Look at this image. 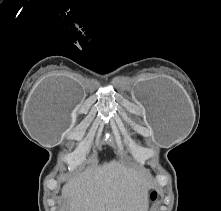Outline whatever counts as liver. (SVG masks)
I'll return each instance as SVG.
<instances>
[{
	"label": "liver",
	"instance_id": "liver-1",
	"mask_svg": "<svg viewBox=\"0 0 221 211\" xmlns=\"http://www.w3.org/2000/svg\"><path fill=\"white\" fill-rule=\"evenodd\" d=\"M152 186L142 170L112 160L76 175L62 197L68 211H145Z\"/></svg>",
	"mask_w": 221,
	"mask_h": 211
}]
</instances>
